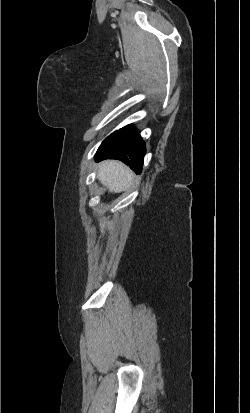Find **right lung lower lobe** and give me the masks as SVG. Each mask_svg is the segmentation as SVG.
Listing matches in <instances>:
<instances>
[{"mask_svg": "<svg viewBox=\"0 0 250 413\" xmlns=\"http://www.w3.org/2000/svg\"><path fill=\"white\" fill-rule=\"evenodd\" d=\"M145 153V144L139 133L126 126L102 142L95 159H118L129 165L136 173H141Z\"/></svg>", "mask_w": 250, "mask_h": 413, "instance_id": "1", "label": "right lung lower lobe"}]
</instances>
